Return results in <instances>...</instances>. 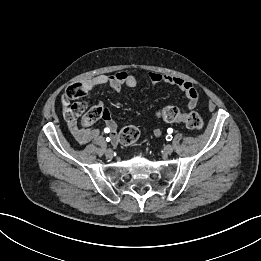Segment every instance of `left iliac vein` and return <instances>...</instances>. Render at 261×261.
Returning a JSON list of instances; mask_svg holds the SVG:
<instances>
[{
	"instance_id": "1",
	"label": "left iliac vein",
	"mask_w": 261,
	"mask_h": 261,
	"mask_svg": "<svg viewBox=\"0 0 261 261\" xmlns=\"http://www.w3.org/2000/svg\"><path fill=\"white\" fill-rule=\"evenodd\" d=\"M173 146L171 144H167L165 147H164V152L165 154L167 155H170L172 152H173Z\"/></svg>"
}]
</instances>
